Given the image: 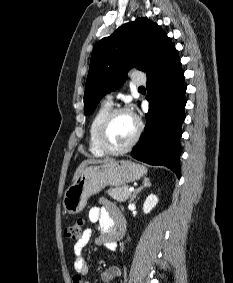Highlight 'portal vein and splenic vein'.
I'll return each mask as SVG.
<instances>
[{
    "label": "portal vein and splenic vein",
    "instance_id": "1",
    "mask_svg": "<svg viewBox=\"0 0 233 283\" xmlns=\"http://www.w3.org/2000/svg\"><path fill=\"white\" fill-rule=\"evenodd\" d=\"M128 191H129V192H133V191H134V188H133V187H130V188L128 189Z\"/></svg>",
    "mask_w": 233,
    "mask_h": 283
}]
</instances>
